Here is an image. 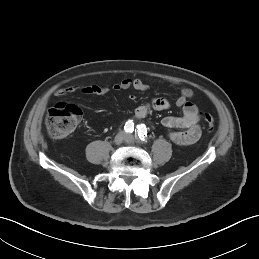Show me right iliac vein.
Here are the masks:
<instances>
[{"label": "right iliac vein", "mask_w": 259, "mask_h": 259, "mask_svg": "<svg viewBox=\"0 0 259 259\" xmlns=\"http://www.w3.org/2000/svg\"><path fill=\"white\" fill-rule=\"evenodd\" d=\"M126 138V134L124 132H119L114 138V144L120 145Z\"/></svg>", "instance_id": "right-iliac-vein-1"}]
</instances>
